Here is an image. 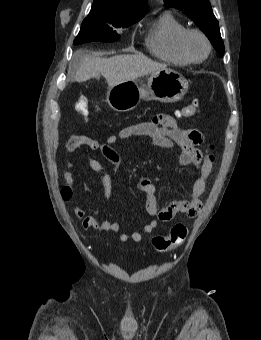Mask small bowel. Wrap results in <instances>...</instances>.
Returning a JSON list of instances; mask_svg holds the SVG:
<instances>
[{
  "label": "small bowel",
  "instance_id": "c3829d8e",
  "mask_svg": "<svg viewBox=\"0 0 261 340\" xmlns=\"http://www.w3.org/2000/svg\"><path fill=\"white\" fill-rule=\"evenodd\" d=\"M135 136H147L155 145L168 149H179L178 162L181 166L194 165L199 171V177L192 183L187 200H176L168 206L159 209L157 203V189L150 179H143L138 183L139 190L145 195L146 210L149 215L156 217L143 227L142 231L132 233H121L119 238L122 242H140L143 234H149L155 230L158 222L171 221L177 214L182 213L188 217H194L202 210L201 197L206 189V180L212 171V163L207 155H204L198 145L203 140L202 133L197 129H183L179 127L176 119L168 114L155 116L151 121L127 126L116 134L107 137L105 143L88 137L86 135L71 136L66 144L69 152H75L78 148L86 146L91 150L100 151L103 157L111 164L118 165L121 161L120 154L113 145L123 139ZM90 169L101 174L103 185V196L109 198L112 194V178L105 170L102 163L95 159L88 160ZM64 179L71 191H76L75 178L69 171L64 172ZM73 214L81 220L83 230L94 229L101 232H120L121 226L118 222H99L93 216L86 215L85 209L76 201H73Z\"/></svg>",
  "mask_w": 261,
  "mask_h": 340
}]
</instances>
